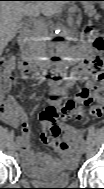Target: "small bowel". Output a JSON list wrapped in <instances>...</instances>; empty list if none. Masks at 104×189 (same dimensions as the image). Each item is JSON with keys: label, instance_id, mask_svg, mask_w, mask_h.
<instances>
[{"label": "small bowel", "instance_id": "obj_1", "mask_svg": "<svg viewBox=\"0 0 104 189\" xmlns=\"http://www.w3.org/2000/svg\"><path fill=\"white\" fill-rule=\"evenodd\" d=\"M11 67L8 68V71H11ZM92 70L89 62L84 61L74 68L68 81L62 83L60 86L56 87L54 94L62 95L65 94L67 88L72 85L74 81L86 80V84L83 88L79 89L74 97V100H71L79 107H90V115L94 118H97V115L91 112V109L94 106H97L101 103L103 94L102 88L94 81L89 79L90 71ZM21 77L24 80H28L33 75V72L28 69L24 63L21 68ZM3 79L8 83L14 82V77L10 74H7ZM7 97H10L12 102L11 104L2 111L1 118L8 125H17L21 131L20 143H21V154L24 165L29 169H34V163L37 161H43L48 158L45 153H34L30 147V126L26 118L25 113L21 107L15 102L12 95L8 92L6 93ZM60 104V102H55ZM72 113V112H71ZM71 113L64 115L60 123V127L66 133V135L72 140L74 144H78L79 136L81 131L74 128L72 125L67 123V119ZM78 152L77 150L71 154L64 155L62 160L74 162L77 159Z\"/></svg>", "mask_w": 104, "mask_h": 189}]
</instances>
